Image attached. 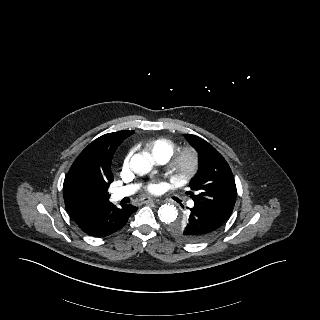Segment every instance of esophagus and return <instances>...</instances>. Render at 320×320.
I'll list each match as a JSON object with an SVG mask.
<instances>
[{
  "mask_svg": "<svg viewBox=\"0 0 320 320\" xmlns=\"http://www.w3.org/2000/svg\"><path fill=\"white\" fill-rule=\"evenodd\" d=\"M142 203L148 204V203H157L159 200L157 199H152V198H144L141 200Z\"/></svg>",
  "mask_w": 320,
  "mask_h": 320,
  "instance_id": "obj_1",
  "label": "esophagus"
}]
</instances>
